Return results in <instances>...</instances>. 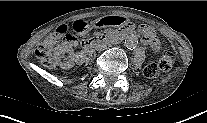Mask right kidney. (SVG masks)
Returning a JSON list of instances; mask_svg holds the SVG:
<instances>
[{
    "label": "right kidney",
    "instance_id": "1",
    "mask_svg": "<svg viewBox=\"0 0 207 123\" xmlns=\"http://www.w3.org/2000/svg\"><path fill=\"white\" fill-rule=\"evenodd\" d=\"M68 51V48H66L65 45H58L56 48H55V51H54V58H55V61L57 62V64L63 68V69H70L74 66V62L73 60L69 59L65 62H61V58H62V55L64 54V52Z\"/></svg>",
    "mask_w": 207,
    "mask_h": 123
}]
</instances>
